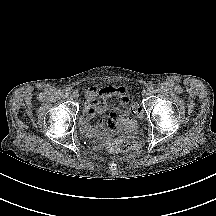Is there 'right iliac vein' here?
Here are the masks:
<instances>
[{
	"label": "right iliac vein",
	"instance_id": "63e3f726",
	"mask_svg": "<svg viewBox=\"0 0 216 216\" xmlns=\"http://www.w3.org/2000/svg\"><path fill=\"white\" fill-rule=\"evenodd\" d=\"M70 97H71L72 99H77V98H78V94H77L76 92H71V93H70Z\"/></svg>",
	"mask_w": 216,
	"mask_h": 216
}]
</instances>
